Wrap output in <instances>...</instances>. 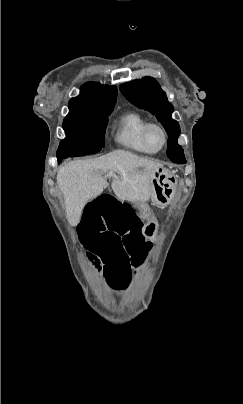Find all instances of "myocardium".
Listing matches in <instances>:
<instances>
[{
  "label": "myocardium",
  "mask_w": 243,
  "mask_h": 404,
  "mask_svg": "<svg viewBox=\"0 0 243 404\" xmlns=\"http://www.w3.org/2000/svg\"><path fill=\"white\" fill-rule=\"evenodd\" d=\"M152 129L158 130L159 133L161 134L162 140H161V144L159 146L153 145V143L150 139V131ZM142 137L148 145H150L152 147H156L158 149H162L166 145L167 140H168V134H167L165 127L161 123L156 122V121H148L144 125V127L142 129Z\"/></svg>",
  "instance_id": "obj_1"
}]
</instances>
